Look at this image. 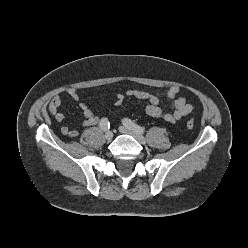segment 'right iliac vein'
Here are the masks:
<instances>
[{
    "mask_svg": "<svg viewBox=\"0 0 248 248\" xmlns=\"http://www.w3.org/2000/svg\"><path fill=\"white\" fill-rule=\"evenodd\" d=\"M105 138H106L107 140H111V139L113 138V132H112V131L106 132Z\"/></svg>",
    "mask_w": 248,
    "mask_h": 248,
    "instance_id": "63e3f726",
    "label": "right iliac vein"
}]
</instances>
